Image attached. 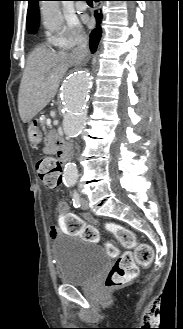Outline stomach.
<instances>
[{
  "label": "stomach",
  "instance_id": "1",
  "mask_svg": "<svg viewBox=\"0 0 183 329\" xmlns=\"http://www.w3.org/2000/svg\"><path fill=\"white\" fill-rule=\"evenodd\" d=\"M28 137L31 144L33 145H37L41 141V137H42L41 131L37 127L36 123L34 122H30L29 124Z\"/></svg>",
  "mask_w": 183,
  "mask_h": 329
}]
</instances>
